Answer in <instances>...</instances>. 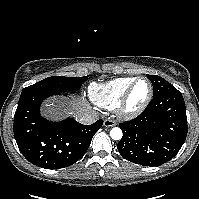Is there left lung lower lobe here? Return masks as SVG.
Segmentation results:
<instances>
[{"label":"left lung lower lobe","instance_id":"obj_1","mask_svg":"<svg viewBox=\"0 0 199 199\" xmlns=\"http://www.w3.org/2000/svg\"><path fill=\"white\" fill-rule=\"evenodd\" d=\"M123 137L118 151L143 166H159L181 149L187 135V116L180 91L153 98L135 119L119 124Z\"/></svg>","mask_w":199,"mask_h":199}]
</instances>
